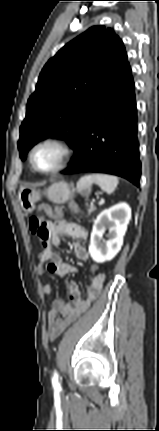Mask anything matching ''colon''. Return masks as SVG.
Returning <instances> with one entry per match:
<instances>
[{
    "label": "colon",
    "mask_w": 159,
    "mask_h": 431,
    "mask_svg": "<svg viewBox=\"0 0 159 431\" xmlns=\"http://www.w3.org/2000/svg\"><path fill=\"white\" fill-rule=\"evenodd\" d=\"M69 207L73 212L78 213L79 209L74 203H69ZM38 211L40 213H44V214L49 215V216L54 217V218H59L62 215V207L61 206H57L55 208V210H52V208L49 205L40 204L38 206ZM45 221L46 220L42 215L39 217H32L29 221V227H30L31 232L35 235H39V234L43 235L45 233V230H44ZM90 272L91 273L97 272V264L96 263H93V266L90 267ZM90 278H94V275H90Z\"/></svg>",
    "instance_id": "obj_1"
}]
</instances>
